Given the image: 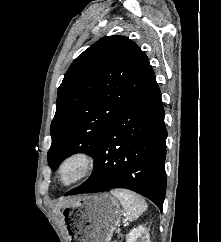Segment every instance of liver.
Instances as JSON below:
<instances>
[{"mask_svg": "<svg viewBox=\"0 0 221 242\" xmlns=\"http://www.w3.org/2000/svg\"><path fill=\"white\" fill-rule=\"evenodd\" d=\"M65 204H66V202H63V203H61V206L65 205Z\"/></svg>", "mask_w": 221, "mask_h": 242, "instance_id": "obj_1", "label": "liver"}]
</instances>
